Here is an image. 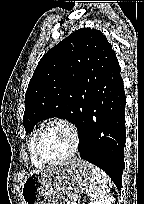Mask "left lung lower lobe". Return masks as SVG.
Returning a JSON list of instances; mask_svg holds the SVG:
<instances>
[{"mask_svg": "<svg viewBox=\"0 0 144 204\" xmlns=\"http://www.w3.org/2000/svg\"><path fill=\"white\" fill-rule=\"evenodd\" d=\"M120 72L116 57L100 64L78 132L81 158L104 170L119 190L126 141L125 92Z\"/></svg>", "mask_w": 144, "mask_h": 204, "instance_id": "1", "label": "left lung lower lobe"}]
</instances>
